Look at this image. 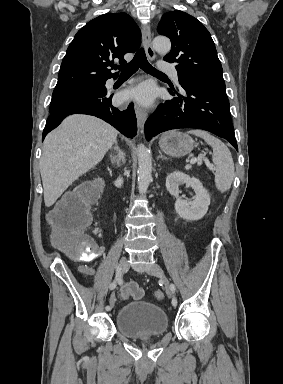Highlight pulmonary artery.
Returning a JSON list of instances; mask_svg holds the SVG:
<instances>
[{
    "label": "pulmonary artery",
    "instance_id": "1",
    "mask_svg": "<svg viewBox=\"0 0 283 384\" xmlns=\"http://www.w3.org/2000/svg\"><path fill=\"white\" fill-rule=\"evenodd\" d=\"M161 70L165 71L166 75H171V76H178V70L177 68H173L172 64H168L167 61H162L161 66L159 67ZM114 83L113 79H109L107 81V86L111 87Z\"/></svg>",
    "mask_w": 283,
    "mask_h": 384
}]
</instances>
